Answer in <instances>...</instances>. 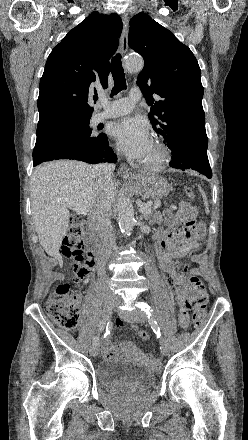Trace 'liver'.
Here are the masks:
<instances>
[{"label":"liver","instance_id":"6515ba94","mask_svg":"<svg viewBox=\"0 0 248 440\" xmlns=\"http://www.w3.org/2000/svg\"><path fill=\"white\" fill-rule=\"evenodd\" d=\"M116 182L104 181L93 174V167L79 161H53L38 166L31 177L30 198L32 219L39 242L45 252L63 265L59 249L70 221L68 207L61 200H70L89 213L102 199L112 203Z\"/></svg>","mask_w":248,"mask_h":440}]
</instances>
